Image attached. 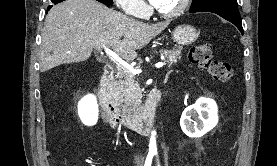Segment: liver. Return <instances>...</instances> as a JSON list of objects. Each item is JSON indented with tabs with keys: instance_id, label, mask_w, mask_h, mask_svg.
Masks as SVG:
<instances>
[{
	"instance_id": "1",
	"label": "liver",
	"mask_w": 277,
	"mask_h": 166,
	"mask_svg": "<svg viewBox=\"0 0 277 166\" xmlns=\"http://www.w3.org/2000/svg\"><path fill=\"white\" fill-rule=\"evenodd\" d=\"M169 22L149 25L135 21L96 0H66L47 14L40 46V70L87 60L93 49L112 48L126 61Z\"/></svg>"
}]
</instances>
